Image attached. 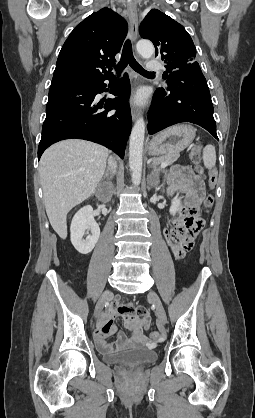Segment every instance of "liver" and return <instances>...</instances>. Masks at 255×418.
<instances>
[{
  "mask_svg": "<svg viewBox=\"0 0 255 418\" xmlns=\"http://www.w3.org/2000/svg\"><path fill=\"white\" fill-rule=\"evenodd\" d=\"M107 157L105 147L79 139L58 142L43 153L39 174L45 209L62 239L67 237V214L95 192Z\"/></svg>",
  "mask_w": 255,
  "mask_h": 418,
  "instance_id": "obj_1",
  "label": "liver"
}]
</instances>
